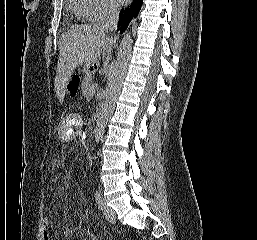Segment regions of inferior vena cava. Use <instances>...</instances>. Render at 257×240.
<instances>
[{
  "mask_svg": "<svg viewBox=\"0 0 257 240\" xmlns=\"http://www.w3.org/2000/svg\"><path fill=\"white\" fill-rule=\"evenodd\" d=\"M120 8L116 3H109L107 7V14L104 22L100 25L101 29L105 32L115 31L118 25Z\"/></svg>",
  "mask_w": 257,
  "mask_h": 240,
  "instance_id": "1",
  "label": "inferior vena cava"
}]
</instances>
